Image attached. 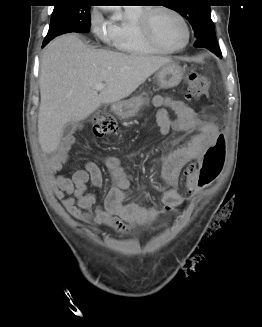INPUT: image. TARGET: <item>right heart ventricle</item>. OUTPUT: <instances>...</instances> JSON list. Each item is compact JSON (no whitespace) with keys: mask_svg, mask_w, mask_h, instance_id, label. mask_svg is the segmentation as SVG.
Listing matches in <instances>:
<instances>
[{"mask_svg":"<svg viewBox=\"0 0 262 327\" xmlns=\"http://www.w3.org/2000/svg\"><path fill=\"white\" fill-rule=\"evenodd\" d=\"M143 8L126 7L120 18L111 27V42L120 51L137 54L153 55L164 53L148 43L141 34L137 20Z\"/></svg>","mask_w":262,"mask_h":327,"instance_id":"obj_1","label":"right heart ventricle"}]
</instances>
